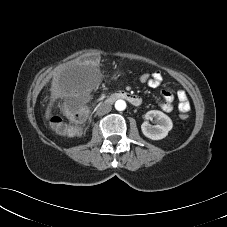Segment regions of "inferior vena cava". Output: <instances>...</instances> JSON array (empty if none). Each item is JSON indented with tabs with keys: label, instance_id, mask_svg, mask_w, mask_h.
I'll return each mask as SVG.
<instances>
[{
	"label": "inferior vena cava",
	"instance_id": "602c4592",
	"mask_svg": "<svg viewBox=\"0 0 227 227\" xmlns=\"http://www.w3.org/2000/svg\"><path fill=\"white\" fill-rule=\"evenodd\" d=\"M111 110H112V106L110 104L103 103L98 107L96 114L99 116H102L109 113Z\"/></svg>",
	"mask_w": 227,
	"mask_h": 227
}]
</instances>
